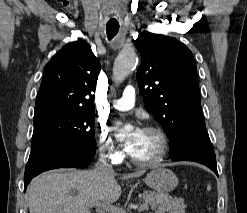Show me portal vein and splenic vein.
I'll return each instance as SVG.
<instances>
[{"label":"portal vein and splenic vein","instance_id":"18ae733b","mask_svg":"<svg viewBox=\"0 0 247 213\" xmlns=\"http://www.w3.org/2000/svg\"><path fill=\"white\" fill-rule=\"evenodd\" d=\"M94 206L98 207V208H101L103 210H106L110 213H126V211L123 209V208H119V207H116V206H112L110 204H105V203H101V202H96L94 204ZM148 207L147 204H141L139 207H138V211H143L145 210L146 208Z\"/></svg>","mask_w":247,"mask_h":213}]
</instances>
